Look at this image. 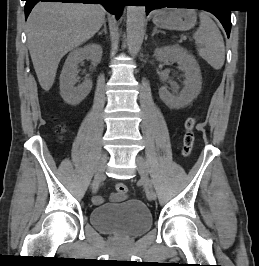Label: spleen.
Returning <instances> with one entry per match:
<instances>
[{
    "mask_svg": "<svg viewBox=\"0 0 259 266\" xmlns=\"http://www.w3.org/2000/svg\"><path fill=\"white\" fill-rule=\"evenodd\" d=\"M200 26L193 38L197 44V51L213 69L219 70L225 61V45L221 32L208 13L200 12Z\"/></svg>",
    "mask_w": 259,
    "mask_h": 266,
    "instance_id": "obj_1",
    "label": "spleen"
}]
</instances>
